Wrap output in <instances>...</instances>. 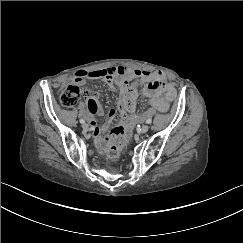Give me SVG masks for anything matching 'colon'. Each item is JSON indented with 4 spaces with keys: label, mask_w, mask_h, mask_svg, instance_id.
Masks as SVG:
<instances>
[{
    "label": "colon",
    "mask_w": 243,
    "mask_h": 243,
    "mask_svg": "<svg viewBox=\"0 0 243 243\" xmlns=\"http://www.w3.org/2000/svg\"><path fill=\"white\" fill-rule=\"evenodd\" d=\"M137 94V87L133 83L126 82L121 89L119 98L121 118L107 139V155L112 161L120 159L122 148L129 138L131 122L135 116ZM80 96V89L70 84L60 90L59 101L65 107H72L79 101Z\"/></svg>",
    "instance_id": "1"
}]
</instances>
